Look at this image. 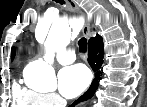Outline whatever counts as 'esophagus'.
<instances>
[{
	"mask_svg": "<svg viewBox=\"0 0 147 107\" xmlns=\"http://www.w3.org/2000/svg\"><path fill=\"white\" fill-rule=\"evenodd\" d=\"M67 3L70 6V9L73 13L78 14L81 19H83L84 24L82 27V33L86 38H89L90 36V21L89 19H86L82 11L78 8L76 2L74 0H67Z\"/></svg>",
	"mask_w": 147,
	"mask_h": 107,
	"instance_id": "obj_1",
	"label": "esophagus"
}]
</instances>
